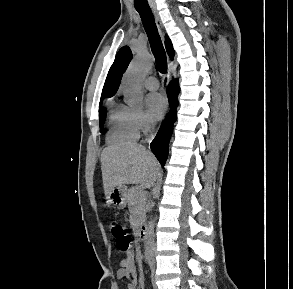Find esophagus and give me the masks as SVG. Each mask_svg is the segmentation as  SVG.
Returning a JSON list of instances; mask_svg holds the SVG:
<instances>
[{"mask_svg":"<svg viewBox=\"0 0 293 289\" xmlns=\"http://www.w3.org/2000/svg\"><path fill=\"white\" fill-rule=\"evenodd\" d=\"M152 12H153V15H154V18H155V22H156L158 31L160 33V36L162 38H164V28H163V25H162L160 16L158 14V11H157L156 8H152ZM170 78H171V74H170V71L168 70L167 74L164 77V86H165V88L168 86V84L170 82Z\"/></svg>","mask_w":293,"mask_h":289,"instance_id":"esophagus-1","label":"esophagus"}]
</instances>
